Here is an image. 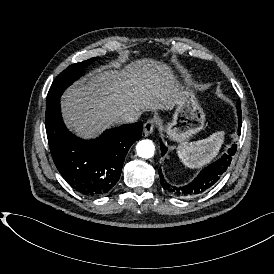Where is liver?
Returning <instances> with one entry per match:
<instances>
[{
    "label": "liver",
    "mask_w": 274,
    "mask_h": 274,
    "mask_svg": "<svg viewBox=\"0 0 274 274\" xmlns=\"http://www.w3.org/2000/svg\"><path fill=\"white\" fill-rule=\"evenodd\" d=\"M182 95L166 65L146 59L123 71L109 66L90 73L67 91L62 104L68 125L92 136L121 122L124 112L174 109Z\"/></svg>",
    "instance_id": "1"
}]
</instances>
